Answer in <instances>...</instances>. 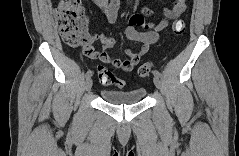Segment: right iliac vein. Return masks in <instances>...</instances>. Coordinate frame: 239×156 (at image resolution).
Masks as SVG:
<instances>
[{
    "mask_svg": "<svg viewBox=\"0 0 239 156\" xmlns=\"http://www.w3.org/2000/svg\"><path fill=\"white\" fill-rule=\"evenodd\" d=\"M92 85H93L92 79L88 78L85 83V90L89 92L92 88Z\"/></svg>",
    "mask_w": 239,
    "mask_h": 156,
    "instance_id": "obj_1",
    "label": "right iliac vein"
}]
</instances>
